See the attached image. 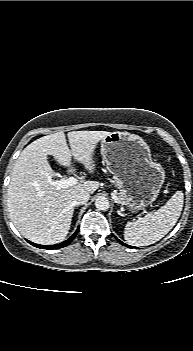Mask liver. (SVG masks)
<instances>
[{
  "mask_svg": "<svg viewBox=\"0 0 193 351\" xmlns=\"http://www.w3.org/2000/svg\"><path fill=\"white\" fill-rule=\"evenodd\" d=\"M111 132H57L30 143L16 160L7 190L10 218L25 238L39 244H56L67 236L73 213L75 196L81 191L93 194L99 188L97 181L79 182L56 190L50 181L56 173L47 157L51 155L64 167L71 158L82 164L89 173L95 170L94 154L97 143Z\"/></svg>",
  "mask_w": 193,
  "mask_h": 351,
  "instance_id": "obj_1",
  "label": "liver"
}]
</instances>
